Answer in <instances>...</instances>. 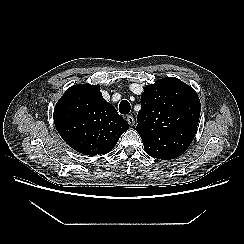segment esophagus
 <instances>
[{
	"instance_id": "obj_1",
	"label": "esophagus",
	"mask_w": 244,
	"mask_h": 244,
	"mask_svg": "<svg viewBox=\"0 0 244 244\" xmlns=\"http://www.w3.org/2000/svg\"><path fill=\"white\" fill-rule=\"evenodd\" d=\"M126 120L129 123V125H131V126H133L135 124V119H134V117L132 115H128L126 117Z\"/></svg>"
}]
</instances>
